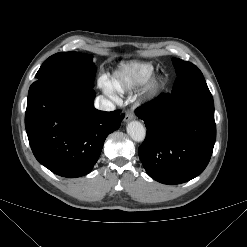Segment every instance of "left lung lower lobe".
Segmentation results:
<instances>
[{"label":"left lung lower lobe","mask_w":247,"mask_h":247,"mask_svg":"<svg viewBox=\"0 0 247 247\" xmlns=\"http://www.w3.org/2000/svg\"><path fill=\"white\" fill-rule=\"evenodd\" d=\"M135 113L147 127L138 154L149 176L176 185L203 172L216 139L209 89L161 95Z\"/></svg>","instance_id":"0a47b994"}]
</instances>
